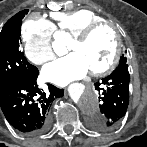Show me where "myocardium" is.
Wrapping results in <instances>:
<instances>
[{"label": "myocardium", "instance_id": "myocardium-1", "mask_svg": "<svg viewBox=\"0 0 147 147\" xmlns=\"http://www.w3.org/2000/svg\"><path fill=\"white\" fill-rule=\"evenodd\" d=\"M103 28H109L113 31L115 38H116L115 52L110 62L105 67L99 70L90 71V74L94 77H102V76L108 75L116 68V66L118 65L120 61L123 45H122L121 36L117 28L108 21L97 22V23H94L88 26L86 29H84L83 31H81L80 33H78L77 35L73 37L74 42L83 43V42L88 41L96 31L103 29Z\"/></svg>", "mask_w": 147, "mask_h": 147}]
</instances>
